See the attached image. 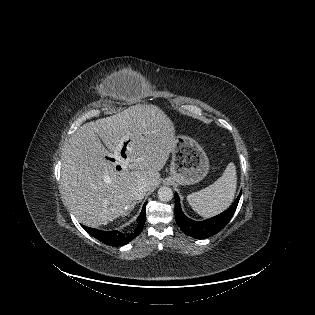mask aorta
Returning <instances> with one entry per match:
<instances>
[{
  "label": "aorta",
  "instance_id": "obj_1",
  "mask_svg": "<svg viewBox=\"0 0 315 315\" xmlns=\"http://www.w3.org/2000/svg\"><path fill=\"white\" fill-rule=\"evenodd\" d=\"M158 198L163 202L170 201L173 198L172 189L167 186L160 187L158 190Z\"/></svg>",
  "mask_w": 315,
  "mask_h": 315
}]
</instances>
